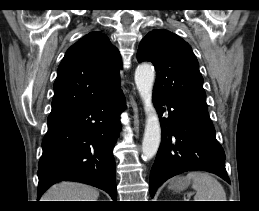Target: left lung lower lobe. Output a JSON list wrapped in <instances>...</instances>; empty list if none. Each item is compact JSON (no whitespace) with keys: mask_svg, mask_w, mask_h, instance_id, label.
<instances>
[{"mask_svg":"<svg viewBox=\"0 0 259 211\" xmlns=\"http://www.w3.org/2000/svg\"><path fill=\"white\" fill-rule=\"evenodd\" d=\"M153 99L161 121L162 140L150 174L151 197L167 179L185 171L204 170L230 183L225 153L216 140L207 106L155 91ZM165 112L168 117L162 118Z\"/></svg>","mask_w":259,"mask_h":211,"instance_id":"obj_1","label":"left lung lower lobe"}]
</instances>
